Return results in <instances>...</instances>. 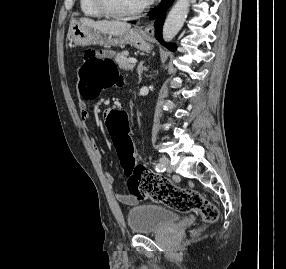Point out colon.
<instances>
[{"label": "colon", "instance_id": "obj_1", "mask_svg": "<svg viewBox=\"0 0 286 269\" xmlns=\"http://www.w3.org/2000/svg\"><path fill=\"white\" fill-rule=\"evenodd\" d=\"M116 49H92L85 53L79 69V89L86 99L96 97L101 90L119 84L120 77L109 57H115ZM106 126L111 137L113 155H118L121 167L126 174L127 186L131 195L163 202L179 211H199L205 223L215 222L219 213L217 208L199 192L181 190L174 187L167 179L144 169V163H136L134 154L136 142L131 137L129 122H132L130 111L124 106H111Z\"/></svg>", "mask_w": 286, "mask_h": 269}]
</instances>
